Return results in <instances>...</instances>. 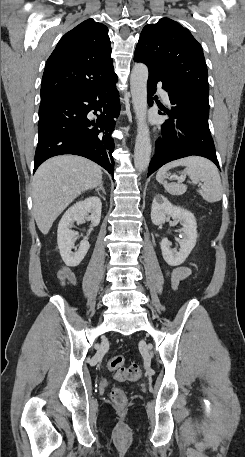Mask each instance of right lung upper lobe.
<instances>
[{
  "label": "right lung upper lobe",
  "mask_w": 245,
  "mask_h": 457,
  "mask_svg": "<svg viewBox=\"0 0 245 457\" xmlns=\"http://www.w3.org/2000/svg\"><path fill=\"white\" fill-rule=\"evenodd\" d=\"M108 29L88 19L66 33L47 60L41 102L116 76Z\"/></svg>",
  "instance_id": "cb5924a9"
}]
</instances>
